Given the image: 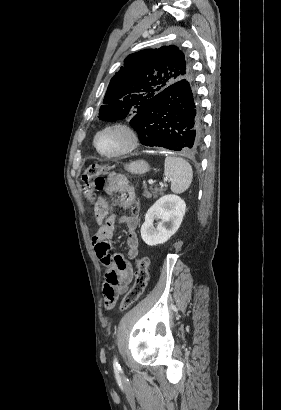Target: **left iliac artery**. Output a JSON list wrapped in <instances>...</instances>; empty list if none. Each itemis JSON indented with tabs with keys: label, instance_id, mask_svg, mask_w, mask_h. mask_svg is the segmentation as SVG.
<instances>
[{
	"label": "left iliac artery",
	"instance_id": "left-iliac-artery-1",
	"mask_svg": "<svg viewBox=\"0 0 281 410\" xmlns=\"http://www.w3.org/2000/svg\"><path fill=\"white\" fill-rule=\"evenodd\" d=\"M113 366H114V369H120V365L118 364L116 357H114Z\"/></svg>",
	"mask_w": 281,
	"mask_h": 410
}]
</instances>
